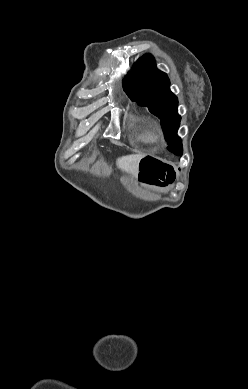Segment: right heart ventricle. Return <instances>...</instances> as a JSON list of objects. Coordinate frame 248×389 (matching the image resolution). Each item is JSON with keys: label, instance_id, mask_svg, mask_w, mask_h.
Segmentation results:
<instances>
[{"label": "right heart ventricle", "instance_id": "e07e8e85", "mask_svg": "<svg viewBox=\"0 0 248 389\" xmlns=\"http://www.w3.org/2000/svg\"><path fill=\"white\" fill-rule=\"evenodd\" d=\"M156 140V132L150 125L144 127V141L147 143H153Z\"/></svg>", "mask_w": 248, "mask_h": 389}]
</instances>
